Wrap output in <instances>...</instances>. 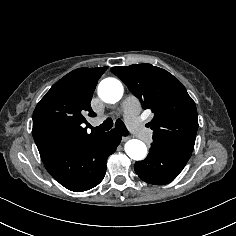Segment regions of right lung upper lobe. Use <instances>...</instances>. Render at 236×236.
Segmentation results:
<instances>
[{
  "mask_svg": "<svg viewBox=\"0 0 236 236\" xmlns=\"http://www.w3.org/2000/svg\"><path fill=\"white\" fill-rule=\"evenodd\" d=\"M106 69L79 68L68 73L37 104L32 134L42 160L103 133L88 134L82 124L87 123L83 114L96 116L90 102Z\"/></svg>",
  "mask_w": 236,
  "mask_h": 236,
  "instance_id": "1",
  "label": "right lung upper lobe"
}]
</instances>
